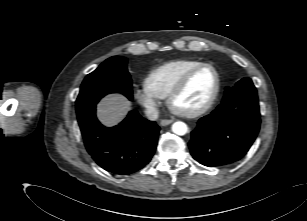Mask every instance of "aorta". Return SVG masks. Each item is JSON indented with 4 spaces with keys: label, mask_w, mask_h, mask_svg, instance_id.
I'll list each match as a JSON object with an SVG mask.
<instances>
[{
    "label": "aorta",
    "mask_w": 307,
    "mask_h": 221,
    "mask_svg": "<svg viewBox=\"0 0 307 221\" xmlns=\"http://www.w3.org/2000/svg\"><path fill=\"white\" fill-rule=\"evenodd\" d=\"M172 131L177 135H185L188 131V127L184 122L178 121L172 125Z\"/></svg>",
    "instance_id": "762f6f07"
}]
</instances>
